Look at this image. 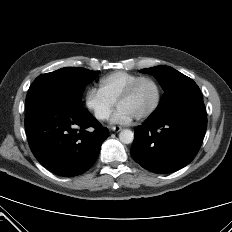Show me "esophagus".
<instances>
[{
	"label": "esophagus",
	"instance_id": "1",
	"mask_svg": "<svg viewBox=\"0 0 232 232\" xmlns=\"http://www.w3.org/2000/svg\"><path fill=\"white\" fill-rule=\"evenodd\" d=\"M111 130L114 132H119L122 130V127L121 126H113V127H111Z\"/></svg>",
	"mask_w": 232,
	"mask_h": 232
}]
</instances>
